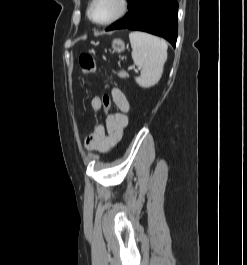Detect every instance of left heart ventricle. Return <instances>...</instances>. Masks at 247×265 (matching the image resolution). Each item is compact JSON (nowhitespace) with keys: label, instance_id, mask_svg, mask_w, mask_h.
I'll return each mask as SVG.
<instances>
[{"label":"left heart ventricle","instance_id":"left-heart-ventricle-1","mask_svg":"<svg viewBox=\"0 0 247 265\" xmlns=\"http://www.w3.org/2000/svg\"><path fill=\"white\" fill-rule=\"evenodd\" d=\"M118 9L116 0H97L93 9L92 16L96 21H105L110 18Z\"/></svg>","mask_w":247,"mask_h":265}]
</instances>
